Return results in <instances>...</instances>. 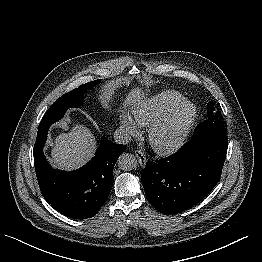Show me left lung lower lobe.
<instances>
[{"label":"left lung lower lobe","instance_id":"1","mask_svg":"<svg viewBox=\"0 0 262 262\" xmlns=\"http://www.w3.org/2000/svg\"><path fill=\"white\" fill-rule=\"evenodd\" d=\"M227 148L226 135L192 136L171 156L146 163L141 181L148 201L164 214L200 202L219 182Z\"/></svg>","mask_w":262,"mask_h":262}]
</instances>
